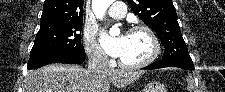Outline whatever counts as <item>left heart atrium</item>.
I'll use <instances>...</instances> for the list:
<instances>
[{
  "instance_id": "obj_1",
  "label": "left heart atrium",
  "mask_w": 225,
  "mask_h": 92,
  "mask_svg": "<svg viewBox=\"0 0 225 92\" xmlns=\"http://www.w3.org/2000/svg\"><path fill=\"white\" fill-rule=\"evenodd\" d=\"M125 34L116 38L110 37L106 32L101 34V42L105 51L113 57H120L123 52Z\"/></svg>"
}]
</instances>
